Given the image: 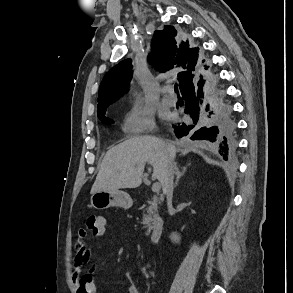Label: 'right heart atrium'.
<instances>
[{"instance_id":"1","label":"right heart atrium","mask_w":293,"mask_h":293,"mask_svg":"<svg viewBox=\"0 0 293 293\" xmlns=\"http://www.w3.org/2000/svg\"><path fill=\"white\" fill-rule=\"evenodd\" d=\"M123 127L131 134L152 132L156 129L154 114L145 108H133L126 113L123 120Z\"/></svg>"}]
</instances>
